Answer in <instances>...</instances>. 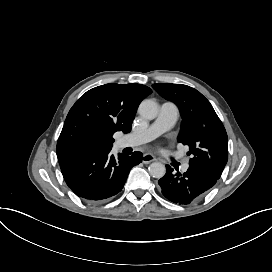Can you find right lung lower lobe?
Here are the masks:
<instances>
[{
  "mask_svg": "<svg viewBox=\"0 0 272 272\" xmlns=\"http://www.w3.org/2000/svg\"><path fill=\"white\" fill-rule=\"evenodd\" d=\"M142 154L120 155L115 159L110 150L70 157L60 163L68 187L81 199L102 202L119 193L130 169L141 162Z\"/></svg>",
  "mask_w": 272,
  "mask_h": 272,
  "instance_id": "98d812e1",
  "label": "right lung lower lobe"
}]
</instances>
